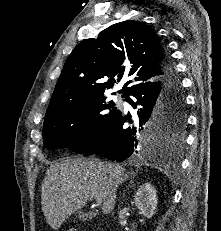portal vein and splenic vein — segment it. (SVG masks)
<instances>
[{
  "mask_svg": "<svg viewBox=\"0 0 221 231\" xmlns=\"http://www.w3.org/2000/svg\"><path fill=\"white\" fill-rule=\"evenodd\" d=\"M96 203H97L98 205H101V204H102V199H101V198H96Z\"/></svg>",
  "mask_w": 221,
  "mask_h": 231,
  "instance_id": "18ae733b",
  "label": "portal vein and splenic vein"
}]
</instances>
